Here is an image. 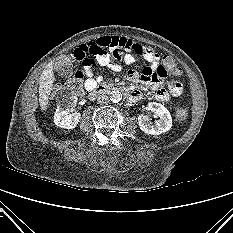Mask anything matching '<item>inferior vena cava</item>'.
<instances>
[{
    "label": "inferior vena cava",
    "instance_id": "obj_1",
    "mask_svg": "<svg viewBox=\"0 0 233 233\" xmlns=\"http://www.w3.org/2000/svg\"><path fill=\"white\" fill-rule=\"evenodd\" d=\"M109 100V97L106 94H98L97 95V101L100 104H105Z\"/></svg>",
    "mask_w": 233,
    "mask_h": 233
}]
</instances>
